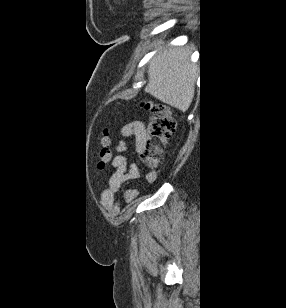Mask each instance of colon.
<instances>
[{
	"label": "colon",
	"instance_id": "colon-1",
	"mask_svg": "<svg viewBox=\"0 0 286 308\" xmlns=\"http://www.w3.org/2000/svg\"><path fill=\"white\" fill-rule=\"evenodd\" d=\"M142 105L150 111V119L138 151L144 163L153 168L158 164L163 146L175 132L176 121L172 117L169 107L164 103L147 101ZM110 144V136L107 131H104L99 152V170H102L112 157Z\"/></svg>",
	"mask_w": 286,
	"mask_h": 308
}]
</instances>
